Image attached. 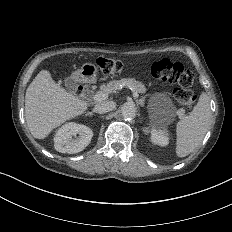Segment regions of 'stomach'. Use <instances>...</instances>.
Wrapping results in <instances>:
<instances>
[{"label": "stomach", "instance_id": "1", "mask_svg": "<svg viewBox=\"0 0 232 232\" xmlns=\"http://www.w3.org/2000/svg\"><path fill=\"white\" fill-rule=\"evenodd\" d=\"M80 72L84 77L85 81L93 82L97 80L98 77V67L94 63H84L81 66Z\"/></svg>", "mask_w": 232, "mask_h": 232}]
</instances>
